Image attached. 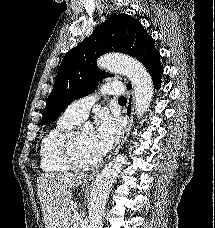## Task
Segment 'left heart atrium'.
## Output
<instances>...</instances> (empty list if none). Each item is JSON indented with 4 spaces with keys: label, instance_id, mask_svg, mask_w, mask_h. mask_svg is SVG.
<instances>
[{
    "label": "left heart atrium",
    "instance_id": "obj_1",
    "mask_svg": "<svg viewBox=\"0 0 215 228\" xmlns=\"http://www.w3.org/2000/svg\"><path fill=\"white\" fill-rule=\"evenodd\" d=\"M119 135L120 127L117 120L108 113L100 114L93 134V143L98 154H106L118 141Z\"/></svg>",
    "mask_w": 215,
    "mask_h": 228
}]
</instances>
